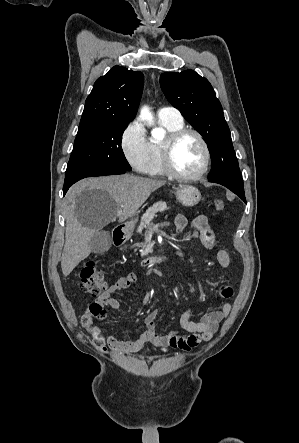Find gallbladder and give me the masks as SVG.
Wrapping results in <instances>:
<instances>
[{
	"label": "gallbladder",
	"mask_w": 299,
	"mask_h": 443,
	"mask_svg": "<svg viewBox=\"0 0 299 443\" xmlns=\"http://www.w3.org/2000/svg\"><path fill=\"white\" fill-rule=\"evenodd\" d=\"M112 244L111 235L108 231H98L90 241L92 252L102 254L107 252Z\"/></svg>",
	"instance_id": "1"
}]
</instances>
